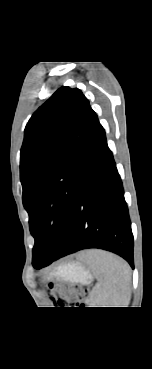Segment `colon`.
<instances>
[{
    "mask_svg": "<svg viewBox=\"0 0 152 369\" xmlns=\"http://www.w3.org/2000/svg\"><path fill=\"white\" fill-rule=\"evenodd\" d=\"M51 300L56 306L70 304L79 305L85 297L86 291L79 285L52 283L49 286Z\"/></svg>",
    "mask_w": 152,
    "mask_h": 369,
    "instance_id": "colon-1",
    "label": "colon"
}]
</instances>
